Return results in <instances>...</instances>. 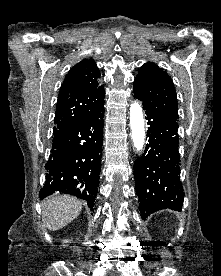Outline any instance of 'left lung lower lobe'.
<instances>
[{
	"mask_svg": "<svg viewBox=\"0 0 221 276\" xmlns=\"http://www.w3.org/2000/svg\"><path fill=\"white\" fill-rule=\"evenodd\" d=\"M146 120L148 142L144 153L134 163L142 219L161 209L181 211L184 199L180 182L178 123L148 111Z\"/></svg>",
	"mask_w": 221,
	"mask_h": 276,
	"instance_id": "left-lung-lower-lobe-1",
	"label": "left lung lower lobe"
}]
</instances>
